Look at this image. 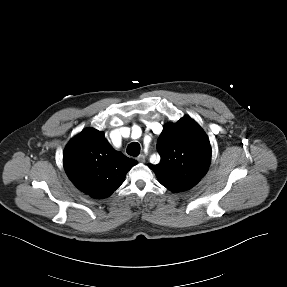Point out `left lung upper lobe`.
<instances>
[{"mask_svg": "<svg viewBox=\"0 0 287 287\" xmlns=\"http://www.w3.org/2000/svg\"><path fill=\"white\" fill-rule=\"evenodd\" d=\"M161 161L149 164L159 182L173 192L192 188L206 174L211 146L202 128L189 116L168 123L157 142Z\"/></svg>", "mask_w": 287, "mask_h": 287, "instance_id": "5c2ea615", "label": "left lung upper lobe"}]
</instances>
